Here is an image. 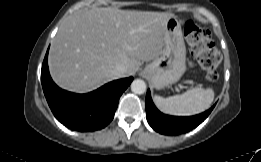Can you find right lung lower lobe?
<instances>
[{
  "label": "right lung lower lobe",
  "mask_w": 261,
  "mask_h": 162,
  "mask_svg": "<svg viewBox=\"0 0 261 162\" xmlns=\"http://www.w3.org/2000/svg\"><path fill=\"white\" fill-rule=\"evenodd\" d=\"M47 59L48 51L42 64L41 83L56 119L69 129L80 132H92L106 127L114 117L120 96L133 78L112 81L87 94H75L62 90L53 82Z\"/></svg>",
  "instance_id": "obj_1"
}]
</instances>
